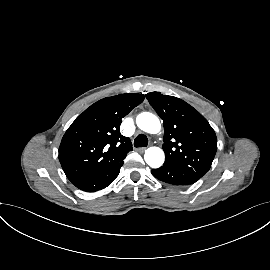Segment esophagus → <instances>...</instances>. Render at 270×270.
Returning a JSON list of instances; mask_svg holds the SVG:
<instances>
[{"label":"esophagus","mask_w":270,"mask_h":270,"mask_svg":"<svg viewBox=\"0 0 270 270\" xmlns=\"http://www.w3.org/2000/svg\"><path fill=\"white\" fill-rule=\"evenodd\" d=\"M145 150H146L145 147H143V148H138V149H137V151H138V152H141V153H143Z\"/></svg>","instance_id":"1"}]
</instances>
